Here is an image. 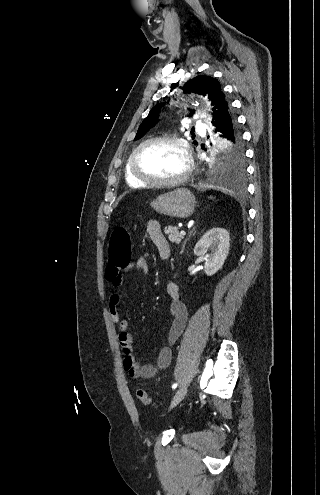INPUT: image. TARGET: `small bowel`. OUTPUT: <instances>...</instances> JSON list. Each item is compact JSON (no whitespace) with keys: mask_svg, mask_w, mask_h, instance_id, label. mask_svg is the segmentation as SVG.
<instances>
[{"mask_svg":"<svg viewBox=\"0 0 320 495\" xmlns=\"http://www.w3.org/2000/svg\"><path fill=\"white\" fill-rule=\"evenodd\" d=\"M147 233L152 242L157 247L158 251L169 248L168 243L161 231L158 221L149 220L147 222ZM137 270L142 274L149 273V264L145 258H139L133 264L124 268V271ZM107 277L114 287H119L123 283L121 273H109ZM166 290L172 301L170 304L171 324L167 333V344L162 346L156 359L155 364L141 365L134 355L133 336L130 332V322L121 319L119 314L120 294L113 292L109 298V313L113 320L118 325V341L122 352L124 353L123 366L127 373L134 379H150L157 375L160 370L166 369L172 360L171 346L182 334L185 329L188 310L185 302L179 297L178 286L173 281H168Z\"/></svg>","mask_w":320,"mask_h":495,"instance_id":"1","label":"small bowel"}]
</instances>
